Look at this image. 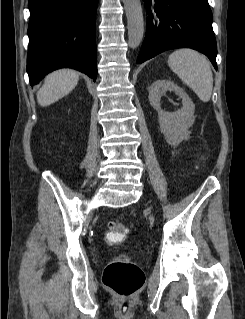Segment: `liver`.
Listing matches in <instances>:
<instances>
[{"label": "liver", "mask_w": 245, "mask_h": 319, "mask_svg": "<svg viewBox=\"0 0 245 319\" xmlns=\"http://www.w3.org/2000/svg\"><path fill=\"white\" fill-rule=\"evenodd\" d=\"M79 73L61 69L46 76L43 86L37 92L39 105L45 107L68 95L77 85Z\"/></svg>", "instance_id": "liver-1"}]
</instances>
